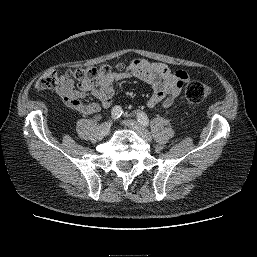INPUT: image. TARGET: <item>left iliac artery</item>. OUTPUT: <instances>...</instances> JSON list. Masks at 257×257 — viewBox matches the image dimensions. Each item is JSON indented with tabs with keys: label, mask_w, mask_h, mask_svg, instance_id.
I'll return each instance as SVG.
<instances>
[{
	"label": "left iliac artery",
	"mask_w": 257,
	"mask_h": 257,
	"mask_svg": "<svg viewBox=\"0 0 257 257\" xmlns=\"http://www.w3.org/2000/svg\"><path fill=\"white\" fill-rule=\"evenodd\" d=\"M137 119H138V122H140L144 126L149 125V119L145 113L143 112L137 113Z\"/></svg>",
	"instance_id": "44dca946"
}]
</instances>
